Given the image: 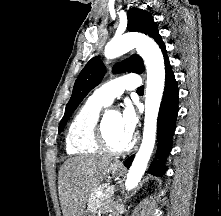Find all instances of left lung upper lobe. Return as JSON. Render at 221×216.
Returning a JSON list of instances; mask_svg holds the SVG:
<instances>
[{
  "mask_svg": "<svg viewBox=\"0 0 221 216\" xmlns=\"http://www.w3.org/2000/svg\"><path fill=\"white\" fill-rule=\"evenodd\" d=\"M127 18V29L129 31H137L149 35L158 43V45L163 43L157 25L148 11L131 8L127 13ZM114 71L142 73L144 71V64L141 57L138 55H132L123 63H118L115 66ZM104 74L105 67L99 57L92 58L85 65L75 81L72 96L66 106L64 116L59 125V133L64 129L70 116L85 96L100 83Z\"/></svg>",
  "mask_w": 221,
  "mask_h": 216,
  "instance_id": "obj_1",
  "label": "left lung upper lobe"
}]
</instances>
